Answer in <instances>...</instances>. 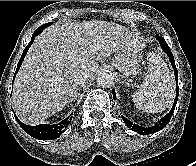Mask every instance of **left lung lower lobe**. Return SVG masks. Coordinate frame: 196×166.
Returning a JSON list of instances; mask_svg holds the SVG:
<instances>
[{
  "mask_svg": "<svg viewBox=\"0 0 196 166\" xmlns=\"http://www.w3.org/2000/svg\"><path fill=\"white\" fill-rule=\"evenodd\" d=\"M156 38L159 41L162 50L167 54V56L169 57V60L171 61L172 67L174 69L175 80L177 82V87H178V71L175 66V61H174V57L172 55V52L163 37L156 35ZM112 93H113V97L116 98V94H115L114 90L112 91ZM178 95H179V91L177 90L176 97H175L174 104H173L171 111L152 127L145 128V127L139 126L137 124H134L133 122H131L130 120H128L127 118H125L123 116H122V119L128 128H130L132 131L137 132L138 134L147 135V134L158 132L169 123V121L172 117V114L175 110V106H176V103L178 100Z\"/></svg>",
  "mask_w": 196,
  "mask_h": 166,
  "instance_id": "1",
  "label": "left lung lower lobe"
}]
</instances>
